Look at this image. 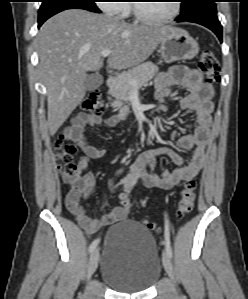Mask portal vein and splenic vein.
Returning a JSON list of instances; mask_svg holds the SVG:
<instances>
[{"mask_svg": "<svg viewBox=\"0 0 248 299\" xmlns=\"http://www.w3.org/2000/svg\"><path fill=\"white\" fill-rule=\"evenodd\" d=\"M111 53H112V50H111V49H105V50H103V51L101 52V56H102V57H107V56H109ZM131 84H132L133 86H136V85H137L136 81H131Z\"/></svg>", "mask_w": 248, "mask_h": 299, "instance_id": "obj_1", "label": "portal vein and splenic vein"}]
</instances>
